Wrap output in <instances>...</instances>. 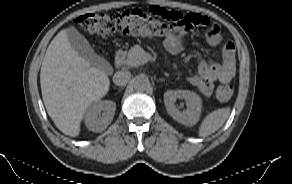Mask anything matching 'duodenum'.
I'll return each mask as SVG.
<instances>
[{"instance_id": "duodenum-1", "label": "duodenum", "mask_w": 292, "mask_h": 184, "mask_svg": "<svg viewBox=\"0 0 292 184\" xmlns=\"http://www.w3.org/2000/svg\"><path fill=\"white\" fill-rule=\"evenodd\" d=\"M126 50L125 49H119L116 51L114 55V62L117 67H121L123 64V61L125 59Z\"/></svg>"}]
</instances>
